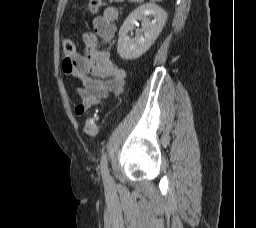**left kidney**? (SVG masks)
Listing matches in <instances>:
<instances>
[{"label": "left kidney", "mask_w": 256, "mask_h": 228, "mask_svg": "<svg viewBox=\"0 0 256 228\" xmlns=\"http://www.w3.org/2000/svg\"><path fill=\"white\" fill-rule=\"evenodd\" d=\"M150 16L154 17L150 20ZM167 13L154 3H146L132 11L119 30L117 52L122 59L132 60L143 55L155 42L162 31ZM137 21L142 22V29L136 30V36L129 38L128 32L135 29Z\"/></svg>", "instance_id": "5707ae66"}]
</instances>
